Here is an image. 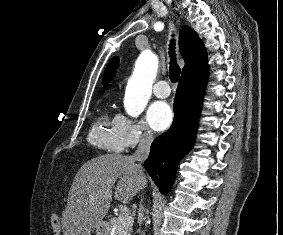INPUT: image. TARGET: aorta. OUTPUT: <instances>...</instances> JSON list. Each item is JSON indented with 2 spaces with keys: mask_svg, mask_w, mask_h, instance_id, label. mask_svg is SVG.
Here are the masks:
<instances>
[{
  "mask_svg": "<svg viewBox=\"0 0 283 235\" xmlns=\"http://www.w3.org/2000/svg\"><path fill=\"white\" fill-rule=\"evenodd\" d=\"M158 57L151 52H142L129 79L124 97V108L131 117H138L145 109L152 92L158 69Z\"/></svg>",
  "mask_w": 283,
  "mask_h": 235,
  "instance_id": "762f6f07",
  "label": "aorta"
}]
</instances>
